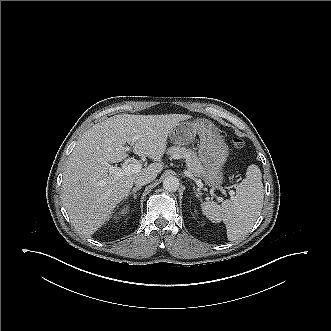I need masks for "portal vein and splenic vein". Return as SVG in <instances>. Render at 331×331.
<instances>
[{"label":"portal vein and splenic vein","mask_w":331,"mask_h":331,"mask_svg":"<svg viewBox=\"0 0 331 331\" xmlns=\"http://www.w3.org/2000/svg\"><path fill=\"white\" fill-rule=\"evenodd\" d=\"M177 157L180 158V155H177ZM141 169H142L141 164H139V163L136 162V163H130V164L125 165V166H123L121 168L120 167H113V166L111 167L110 166L109 167V172L111 174L116 175V176H124V175H132V174L138 173V172L141 171ZM189 176H192V174L189 173ZM196 182H197V184L199 186H202V183H201L200 180H197ZM229 194L230 195H233L234 194V191L233 190H230L229 191Z\"/></svg>","instance_id":"18ae733b"}]
</instances>
